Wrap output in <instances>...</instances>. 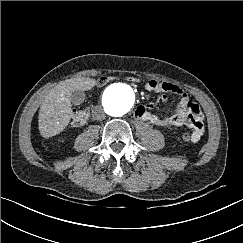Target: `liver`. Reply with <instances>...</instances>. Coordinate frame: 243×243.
I'll return each mask as SVG.
<instances>
[{
    "label": "liver",
    "mask_w": 243,
    "mask_h": 243,
    "mask_svg": "<svg viewBox=\"0 0 243 243\" xmlns=\"http://www.w3.org/2000/svg\"><path fill=\"white\" fill-rule=\"evenodd\" d=\"M87 80L69 79L51 89L41 104L38 128L42 137L50 138L62 132L72 114L71 94L85 89Z\"/></svg>",
    "instance_id": "obj_1"
}]
</instances>
